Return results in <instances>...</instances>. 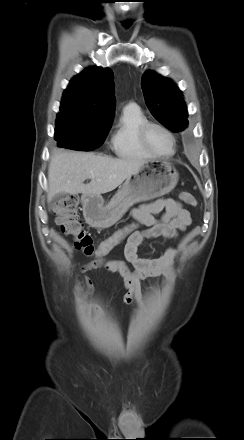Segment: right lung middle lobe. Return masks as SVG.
Segmentation results:
<instances>
[{
  "instance_id": "1",
  "label": "right lung middle lobe",
  "mask_w": 244,
  "mask_h": 440,
  "mask_svg": "<svg viewBox=\"0 0 244 440\" xmlns=\"http://www.w3.org/2000/svg\"><path fill=\"white\" fill-rule=\"evenodd\" d=\"M111 123H95L80 120L56 122L55 140L59 147L91 151L104 142Z\"/></svg>"
}]
</instances>
